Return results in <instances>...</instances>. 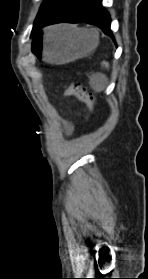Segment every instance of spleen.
I'll return each instance as SVG.
<instances>
[{
    "label": "spleen",
    "instance_id": "1",
    "mask_svg": "<svg viewBox=\"0 0 148 279\" xmlns=\"http://www.w3.org/2000/svg\"><path fill=\"white\" fill-rule=\"evenodd\" d=\"M82 33L87 34V33H96L98 35V32L94 29H80ZM102 65L105 67H109V64L106 61L102 62ZM106 77L104 75H98L93 78H91V86L98 92L102 91L105 88L106 85Z\"/></svg>",
    "mask_w": 148,
    "mask_h": 279
}]
</instances>
